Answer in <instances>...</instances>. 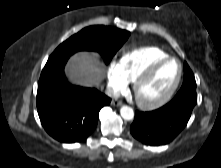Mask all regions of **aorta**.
Masks as SVG:
<instances>
[{
  "label": "aorta",
  "instance_id": "762f6f07",
  "mask_svg": "<svg viewBox=\"0 0 221 168\" xmlns=\"http://www.w3.org/2000/svg\"><path fill=\"white\" fill-rule=\"evenodd\" d=\"M120 114H121L122 118L125 120H132L134 117L133 109L129 106H123L120 109Z\"/></svg>",
  "mask_w": 221,
  "mask_h": 168
}]
</instances>
